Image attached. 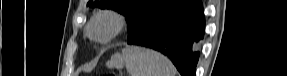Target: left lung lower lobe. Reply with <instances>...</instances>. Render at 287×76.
I'll return each instance as SVG.
<instances>
[{"label":"left lung lower lobe","instance_id":"0a47b994","mask_svg":"<svg viewBox=\"0 0 287 76\" xmlns=\"http://www.w3.org/2000/svg\"><path fill=\"white\" fill-rule=\"evenodd\" d=\"M201 0H185L156 20L145 31L128 40L131 45L155 49L167 55L182 76H193L199 58L198 42L204 35Z\"/></svg>","mask_w":287,"mask_h":76}]
</instances>
